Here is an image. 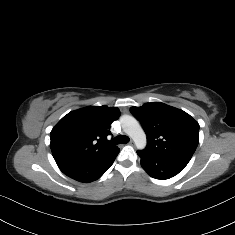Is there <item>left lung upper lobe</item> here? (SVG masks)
I'll return each mask as SVG.
<instances>
[{
  "mask_svg": "<svg viewBox=\"0 0 235 235\" xmlns=\"http://www.w3.org/2000/svg\"><path fill=\"white\" fill-rule=\"evenodd\" d=\"M146 135L144 151L188 163L199 143V124L186 112L160 102L132 107Z\"/></svg>",
  "mask_w": 235,
  "mask_h": 235,
  "instance_id": "1",
  "label": "left lung upper lobe"
}]
</instances>
